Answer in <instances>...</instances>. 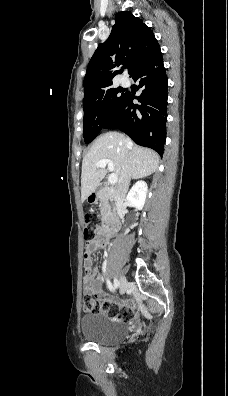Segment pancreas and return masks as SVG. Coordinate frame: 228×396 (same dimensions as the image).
<instances>
[{"label": "pancreas", "mask_w": 228, "mask_h": 396, "mask_svg": "<svg viewBox=\"0 0 228 396\" xmlns=\"http://www.w3.org/2000/svg\"><path fill=\"white\" fill-rule=\"evenodd\" d=\"M99 198L101 202V216L102 219H105L111 210V206L109 204V199L111 200V194L107 190L103 189L100 191Z\"/></svg>", "instance_id": "obj_1"}]
</instances>
